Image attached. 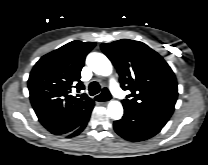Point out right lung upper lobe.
Returning <instances> with one entry per match:
<instances>
[{
    "mask_svg": "<svg viewBox=\"0 0 208 165\" xmlns=\"http://www.w3.org/2000/svg\"><path fill=\"white\" fill-rule=\"evenodd\" d=\"M94 42L72 41L44 55L28 79L30 101L41 124L54 135L76 129L93 109L94 101L70 95L73 87L84 89L80 72Z\"/></svg>",
    "mask_w": 208,
    "mask_h": 165,
    "instance_id": "right-lung-upper-lobe-1",
    "label": "right lung upper lobe"
}]
</instances>
